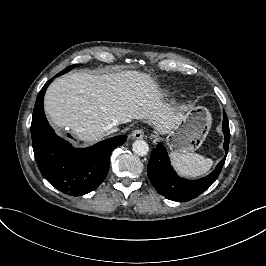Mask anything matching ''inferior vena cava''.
<instances>
[{
	"label": "inferior vena cava",
	"instance_id": "obj_1",
	"mask_svg": "<svg viewBox=\"0 0 266 266\" xmlns=\"http://www.w3.org/2000/svg\"><path fill=\"white\" fill-rule=\"evenodd\" d=\"M117 131H118V128H112V129L107 131V135H110V134L117 132Z\"/></svg>",
	"mask_w": 266,
	"mask_h": 266
}]
</instances>
